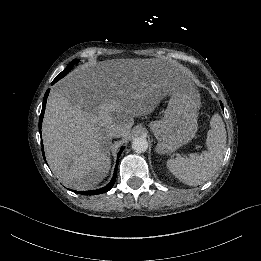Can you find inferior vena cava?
<instances>
[{"mask_svg": "<svg viewBox=\"0 0 261 261\" xmlns=\"http://www.w3.org/2000/svg\"><path fill=\"white\" fill-rule=\"evenodd\" d=\"M120 133H121V127L117 125L112 126L108 131V135L112 136L113 138L120 137Z\"/></svg>", "mask_w": 261, "mask_h": 261, "instance_id": "602c4592", "label": "inferior vena cava"}]
</instances>
